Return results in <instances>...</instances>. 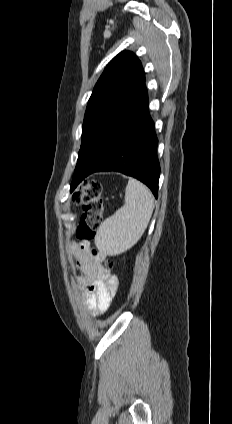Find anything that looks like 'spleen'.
I'll return each instance as SVG.
<instances>
[{
	"label": "spleen",
	"mask_w": 232,
	"mask_h": 424,
	"mask_svg": "<svg viewBox=\"0 0 232 424\" xmlns=\"http://www.w3.org/2000/svg\"><path fill=\"white\" fill-rule=\"evenodd\" d=\"M154 209L151 191L140 181L129 178L125 204L99 226L95 244L108 255H119L133 247L148 226Z\"/></svg>",
	"instance_id": "1"
}]
</instances>
